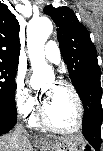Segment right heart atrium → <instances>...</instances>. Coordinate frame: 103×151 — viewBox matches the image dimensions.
<instances>
[{
  "mask_svg": "<svg viewBox=\"0 0 103 151\" xmlns=\"http://www.w3.org/2000/svg\"><path fill=\"white\" fill-rule=\"evenodd\" d=\"M15 105L23 116H32L37 107L35 98L21 76H17L15 80Z\"/></svg>",
  "mask_w": 103,
  "mask_h": 151,
  "instance_id": "d8ad5b80",
  "label": "right heart atrium"
}]
</instances>
